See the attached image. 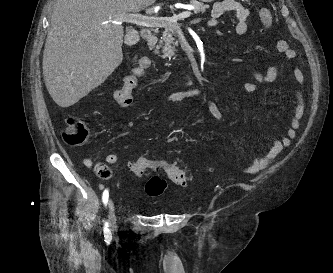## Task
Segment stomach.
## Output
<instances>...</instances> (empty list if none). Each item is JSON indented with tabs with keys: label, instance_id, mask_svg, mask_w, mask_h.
I'll use <instances>...</instances> for the list:
<instances>
[{
	"label": "stomach",
	"instance_id": "0dacf381",
	"mask_svg": "<svg viewBox=\"0 0 333 273\" xmlns=\"http://www.w3.org/2000/svg\"><path fill=\"white\" fill-rule=\"evenodd\" d=\"M202 2H212L214 0H201Z\"/></svg>",
	"mask_w": 333,
	"mask_h": 273
}]
</instances>
